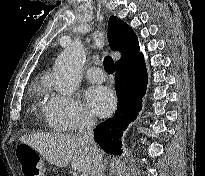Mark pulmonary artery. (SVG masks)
<instances>
[{
    "mask_svg": "<svg viewBox=\"0 0 205 176\" xmlns=\"http://www.w3.org/2000/svg\"><path fill=\"white\" fill-rule=\"evenodd\" d=\"M86 78L94 83H101L105 80V74L99 67H89L85 71Z\"/></svg>",
    "mask_w": 205,
    "mask_h": 176,
    "instance_id": "e3ab8cb5",
    "label": "pulmonary artery"
}]
</instances>
